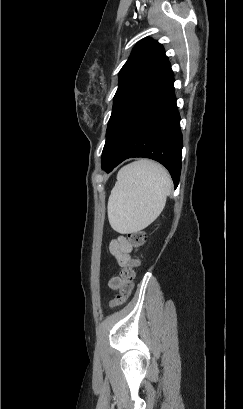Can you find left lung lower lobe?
<instances>
[{"label": "left lung lower lobe", "mask_w": 243, "mask_h": 409, "mask_svg": "<svg viewBox=\"0 0 243 409\" xmlns=\"http://www.w3.org/2000/svg\"><path fill=\"white\" fill-rule=\"evenodd\" d=\"M174 77L167 61L148 81L116 126L117 153L102 166L107 173L130 157L158 161L171 174L176 188L180 179L182 134L176 106Z\"/></svg>", "instance_id": "obj_1"}]
</instances>
